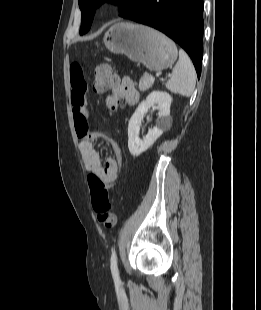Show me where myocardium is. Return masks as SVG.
Here are the masks:
<instances>
[{
    "label": "myocardium",
    "instance_id": "myocardium-1",
    "mask_svg": "<svg viewBox=\"0 0 261 310\" xmlns=\"http://www.w3.org/2000/svg\"><path fill=\"white\" fill-rule=\"evenodd\" d=\"M119 6V2L116 1V0H107L105 3H104V10L107 11V12H111V11H114L117 7Z\"/></svg>",
    "mask_w": 261,
    "mask_h": 310
}]
</instances>
